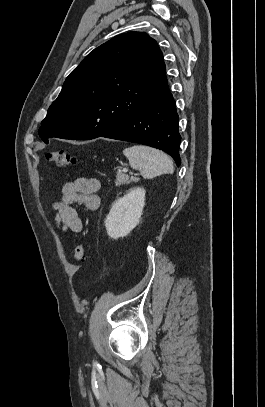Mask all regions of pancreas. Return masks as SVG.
Returning <instances> with one entry per match:
<instances>
[{
  "label": "pancreas",
  "instance_id": "1",
  "mask_svg": "<svg viewBox=\"0 0 265 407\" xmlns=\"http://www.w3.org/2000/svg\"><path fill=\"white\" fill-rule=\"evenodd\" d=\"M139 178L137 177H129L127 174L118 172L116 175V181H115V185L116 186H120V185H124V184H129L131 182H138Z\"/></svg>",
  "mask_w": 265,
  "mask_h": 407
}]
</instances>
